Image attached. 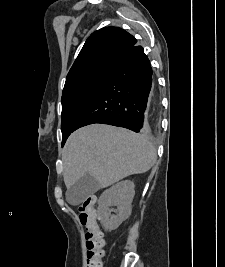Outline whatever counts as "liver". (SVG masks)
Instances as JSON below:
<instances>
[{
    "label": "liver",
    "mask_w": 225,
    "mask_h": 267,
    "mask_svg": "<svg viewBox=\"0 0 225 267\" xmlns=\"http://www.w3.org/2000/svg\"><path fill=\"white\" fill-rule=\"evenodd\" d=\"M64 182L69 189L86 174L100 188L150 170L156 150L149 139L124 128L90 124L73 132L62 152Z\"/></svg>",
    "instance_id": "liver-1"
}]
</instances>
